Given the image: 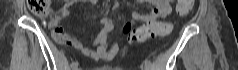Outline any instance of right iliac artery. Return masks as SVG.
Instances as JSON below:
<instances>
[{
	"label": "right iliac artery",
	"instance_id": "1",
	"mask_svg": "<svg viewBox=\"0 0 238 70\" xmlns=\"http://www.w3.org/2000/svg\"><path fill=\"white\" fill-rule=\"evenodd\" d=\"M71 68H72L73 70H76V69L78 68V62H73V63L71 64Z\"/></svg>",
	"mask_w": 238,
	"mask_h": 70
}]
</instances>
